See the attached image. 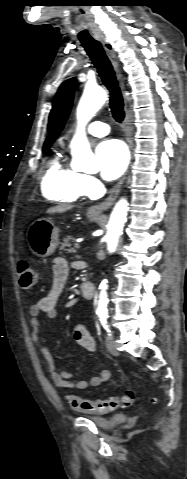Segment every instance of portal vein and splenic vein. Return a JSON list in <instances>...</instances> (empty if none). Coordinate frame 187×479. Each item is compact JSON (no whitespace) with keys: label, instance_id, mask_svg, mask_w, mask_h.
<instances>
[{"label":"portal vein and splenic vein","instance_id":"portal-vein-and-splenic-vein-1","mask_svg":"<svg viewBox=\"0 0 187 479\" xmlns=\"http://www.w3.org/2000/svg\"><path fill=\"white\" fill-rule=\"evenodd\" d=\"M75 247H76L77 249H80V248H81V246H80L79 244H75Z\"/></svg>","mask_w":187,"mask_h":479}]
</instances>
